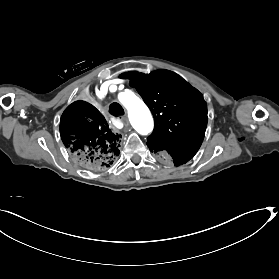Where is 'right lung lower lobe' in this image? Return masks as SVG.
<instances>
[{"label": "right lung lower lobe", "mask_w": 279, "mask_h": 279, "mask_svg": "<svg viewBox=\"0 0 279 279\" xmlns=\"http://www.w3.org/2000/svg\"><path fill=\"white\" fill-rule=\"evenodd\" d=\"M60 135L73 160L92 171L110 167L119 155L121 134L91 104L76 101L63 112Z\"/></svg>", "instance_id": "right-lung-lower-lobe-1"}]
</instances>
